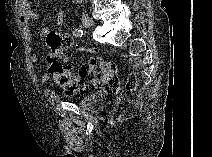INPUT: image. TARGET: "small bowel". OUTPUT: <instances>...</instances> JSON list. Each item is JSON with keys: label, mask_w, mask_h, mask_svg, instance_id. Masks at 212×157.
Listing matches in <instances>:
<instances>
[{"label": "small bowel", "mask_w": 212, "mask_h": 157, "mask_svg": "<svg viewBox=\"0 0 212 157\" xmlns=\"http://www.w3.org/2000/svg\"><path fill=\"white\" fill-rule=\"evenodd\" d=\"M39 18L38 12L33 8V5L30 1H22L19 4V22L20 25L23 28L24 31V36L27 39V41L32 40V31H31V23L33 21H36ZM65 19V13L63 10H59L56 14V23L58 25H62ZM50 28L49 27H43L41 30V33L44 37H46L50 33ZM75 49L79 53H88L91 50L81 44H76ZM38 60V56L36 54H33L31 56V61L36 62ZM98 59L96 58H91L90 61L87 64H84L82 68H85L92 63L96 62ZM49 80L48 74L44 73L40 77V84L44 87L43 88V94L44 96L48 99L50 103H56L59 101L60 96L55 93L53 90H51L49 87H46L45 85L47 84Z\"/></svg>", "instance_id": "obj_1"}]
</instances>
